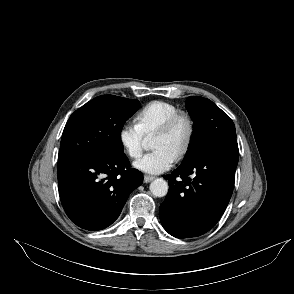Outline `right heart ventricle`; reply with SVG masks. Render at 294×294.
Masks as SVG:
<instances>
[{
    "instance_id": "right-heart-ventricle-1",
    "label": "right heart ventricle",
    "mask_w": 294,
    "mask_h": 294,
    "mask_svg": "<svg viewBox=\"0 0 294 294\" xmlns=\"http://www.w3.org/2000/svg\"><path fill=\"white\" fill-rule=\"evenodd\" d=\"M178 112L180 110L175 105L155 100L140 109L136 115V124L145 137H151L169 117Z\"/></svg>"
}]
</instances>
